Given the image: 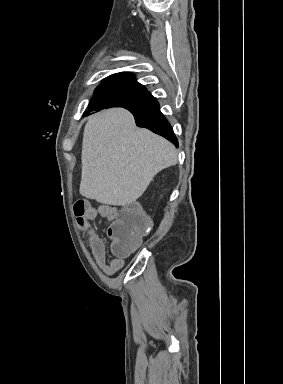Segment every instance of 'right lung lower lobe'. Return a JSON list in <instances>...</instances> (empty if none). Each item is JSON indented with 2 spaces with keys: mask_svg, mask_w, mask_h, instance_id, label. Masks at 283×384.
I'll use <instances>...</instances> for the list:
<instances>
[{
  "mask_svg": "<svg viewBox=\"0 0 283 384\" xmlns=\"http://www.w3.org/2000/svg\"><path fill=\"white\" fill-rule=\"evenodd\" d=\"M125 108V107H124ZM159 104L155 102L152 106L137 109V108H126L128 109L135 118L136 125L138 127H144L152 132L159 134L176 146H178V140L172 130L171 125L167 122L164 115L160 112ZM89 111H93V109H89ZM85 115H90L89 112H85Z\"/></svg>",
  "mask_w": 283,
  "mask_h": 384,
  "instance_id": "1",
  "label": "right lung lower lobe"
}]
</instances>
